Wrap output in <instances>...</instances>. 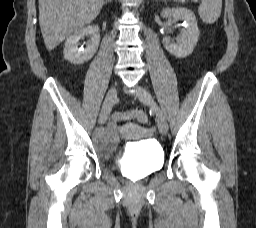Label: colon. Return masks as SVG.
<instances>
[{"label": "colon", "instance_id": "obj_1", "mask_svg": "<svg viewBox=\"0 0 256 228\" xmlns=\"http://www.w3.org/2000/svg\"><path fill=\"white\" fill-rule=\"evenodd\" d=\"M113 122L117 123L124 120H131L143 124L148 123V117L143 110L135 109L130 111H118L112 115Z\"/></svg>", "mask_w": 256, "mask_h": 228}]
</instances>
